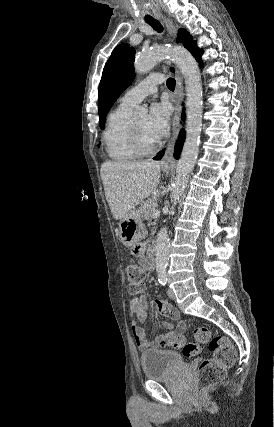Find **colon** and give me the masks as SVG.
<instances>
[{
  "label": "colon",
  "mask_w": 274,
  "mask_h": 427,
  "mask_svg": "<svg viewBox=\"0 0 274 427\" xmlns=\"http://www.w3.org/2000/svg\"><path fill=\"white\" fill-rule=\"evenodd\" d=\"M131 256H140V245H131ZM128 291L136 294L142 288V270L134 262L127 266ZM195 342L185 341L182 337H169L160 342L161 350H170L171 347L178 349L182 356L190 358L198 353L197 344L208 345L212 354L199 362L196 374V386L193 388L194 395H205L206 390L214 385L220 384L226 371L234 365L236 360V350L233 344L222 335L211 336L206 326H196L193 329Z\"/></svg>",
  "instance_id": "obj_1"
}]
</instances>
